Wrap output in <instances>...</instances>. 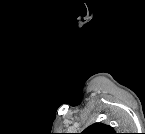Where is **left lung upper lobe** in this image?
Returning a JSON list of instances; mask_svg holds the SVG:
<instances>
[{
	"label": "left lung upper lobe",
	"instance_id": "obj_1",
	"mask_svg": "<svg viewBox=\"0 0 145 134\" xmlns=\"http://www.w3.org/2000/svg\"><path fill=\"white\" fill-rule=\"evenodd\" d=\"M82 134H115L114 129L102 123H94L87 127Z\"/></svg>",
	"mask_w": 145,
	"mask_h": 134
}]
</instances>
